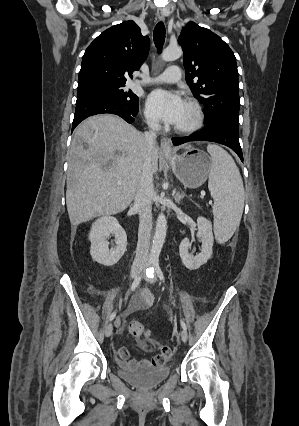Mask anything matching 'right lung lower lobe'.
I'll list each match as a JSON object with an SVG mask.
<instances>
[{
	"mask_svg": "<svg viewBox=\"0 0 299 426\" xmlns=\"http://www.w3.org/2000/svg\"><path fill=\"white\" fill-rule=\"evenodd\" d=\"M103 113L118 115L128 123H132L134 122L133 116H136L138 113V105L132 107L126 106L112 98L102 95H81L77 97L72 130L87 117Z\"/></svg>",
	"mask_w": 299,
	"mask_h": 426,
	"instance_id": "right-lung-lower-lobe-1",
	"label": "right lung lower lobe"
}]
</instances>
